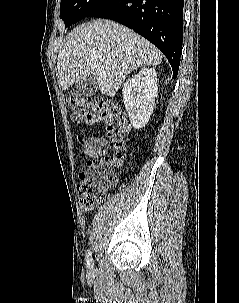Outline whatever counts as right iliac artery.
<instances>
[{
	"label": "right iliac artery",
	"instance_id": "obj_1",
	"mask_svg": "<svg viewBox=\"0 0 239 303\" xmlns=\"http://www.w3.org/2000/svg\"><path fill=\"white\" fill-rule=\"evenodd\" d=\"M85 261H86L87 268L89 270H92L93 269V259H92V254H91L90 250H88V252L86 253Z\"/></svg>",
	"mask_w": 239,
	"mask_h": 303
}]
</instances>
